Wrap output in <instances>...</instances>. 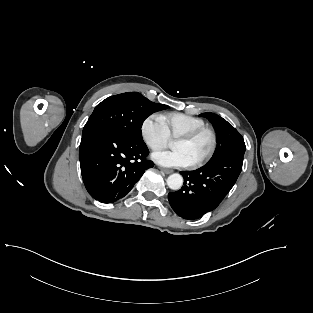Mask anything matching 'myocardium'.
Listing matches in <instances>:
<instances>
[{"label":"myocardium","instance_id":"myocardium-1","mask_svg":"<svg viewBox=\"0 0 313 313\" xmlns=\"http://www.w3.org/2000/svg\"><path fill=\"white\" fill-rule=\"evenodd\" d=\"M204 133H208L211 136V146L204 156H202L200 159L190 164V167L192 168H197V167L204 165L214 155L217 149V144H218V137H217L216 131L209 126H203V127L181 134L178 137H176V140L189 142V141L196 139L197 137H199L200 135Z\"/></svg>","mask_w":313,"mask_h":313}]
</instances>
